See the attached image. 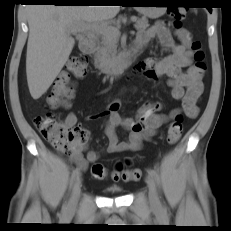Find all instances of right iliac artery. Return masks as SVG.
<instances>
[{
    "instance_id": "1",
    "label": "right iliac artery",
    "mask_w": 231,
    "mask_h": 231,
    "mask_svg": "<svg viewBox=\"0 0 231 231\" xmlns=\"http://www.w3.org/2000/svg\"><path fill=\"white\" fill-rule=\"evenodd\" d=\"M80 175V169L76 168L73 170L72 172V176H71V182L73 183Z\"/></svg>"
}]
</instances>
